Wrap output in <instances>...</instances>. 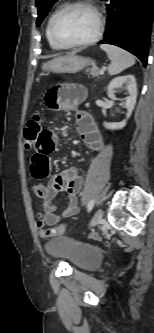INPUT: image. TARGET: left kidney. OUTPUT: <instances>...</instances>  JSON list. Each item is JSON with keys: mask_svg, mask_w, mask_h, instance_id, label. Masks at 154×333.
Returning a JSON list of instances; mask_svg holds the SVG:
<instances>
[{"mask_svg": "<svg viewBox=\"0 0 154 333\" xmlns=\"http://www.w3.org/2000/svg\"><path fill=\"white\" fill-rule=\"evenodd\" d=\"M126 85L129 96H127L124 102L121 104L127 109L126 118L128 119L136 104L137 98V85L133 75H125L114 78L108 85V97L112 100H116L115 89ZM126 119V120H127ZM126 120L119 123L104 122V127L110 130L122 129L126 125Z\"/></svg>", "mask_w": 154, "mask_h": 333, "instance_id": "5707ae66", "label": "left kidney"}]
</instances>
